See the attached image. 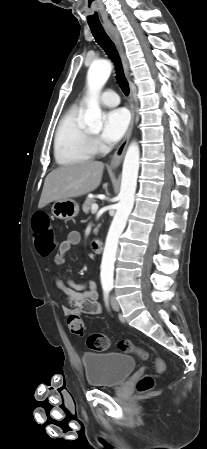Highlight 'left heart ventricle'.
<instances>
[{"label":"left heart ventricle","instance_id":"left-heart-ventricle-1","mask_svg":"<svg viewBox=\"0 0 207 449\" xmlns=\"http://www.w3.org/2000/svg\"><path fill=\"white\" fill-rule=\"evenodd\" d=\"M91 134H93V135H97L98 134V131H95V130H90L89 131Z\"/></svg>","mask_w":207,"mask_h":449}]
</instances>
